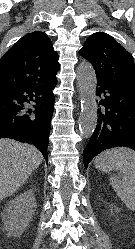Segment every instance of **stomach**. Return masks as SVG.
I'll return each instance as SVG.
<instances>
[{
	"instance_id": "stomach-1",
	"label": "stomach",
	"mask_w": 135,
	"mask_h": 249,
	"mask_svg": "<svg viewBox=\"0 0 135 249\" xmlns=\"http://www.w3.org/2000/svg\"><path fill=\"white\" fill-rule=\"evenodd\" d=\"M99 170L108 172L113 169H117L111 162H103L102 164H95Z\"/></svg>"
}]
</instances>
